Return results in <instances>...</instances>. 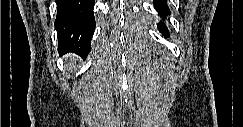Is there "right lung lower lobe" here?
Segmentation results:
<instances>
[{"label":"right lung lower lobe","instance_id":"1","mask_svg":"<svg viewBox=\"0 0 243 127\" xmlns=\"http://www.w3.org/2000/svg\"><path fill=\"white\" fill-rule=\"evenodd\" d=\"M94 0H57L55 29L59 53L86 57L95 28Z\"/></svg>","mask_w":243,"mask_h":127}]
</instances>
